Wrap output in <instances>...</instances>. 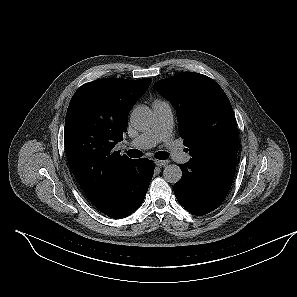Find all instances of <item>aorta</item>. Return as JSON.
I'll list each match as a JSON object with an SVG mask.
<instances>
[{
	"label": "aorta",
	"instance_id": "obj_1",
	"mask_svg": "<svg viewBox=\"0 0 297 297\" xmlns=\"http://www.w3.org/2000/svg\"><path fill=\"white\" fill-rule=\"evenodd\" d=\"M132 126L138 130H145L153 124V113L148 107L139 106L130 114ZM164 179L169 183H177L182 178V170L178 165L170 164L163 171Z\"/></svg>",
	"mask_w": 297,
	"mask_h": 297
}]
</instances>
